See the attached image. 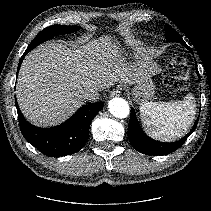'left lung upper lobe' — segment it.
Segmentation results:
<instances>
[{
    "label": "left lung upper lobe",
    "mask_w": 211,
    "mask_h": 211,
    "mask_svg": "<svg viewBox=\"0 0 211 211\" xmlns=\"http://www.w3.org/2000/svg\"><path fill=\"white\" fill-rule=\"evenodd\" d=\"M165 36L168 41L171 42H178L182 38L179 36V34L169 25H165Z\"/></svg>",
    "instance_id": "5c2ea615"
}]
</instances>
